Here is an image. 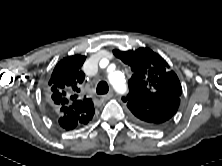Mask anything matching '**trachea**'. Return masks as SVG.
<instances>
[{"label":"trachea","mask_w":222,"mask_h":166,"mask_svg":"<svg viewBox=\"0 0 222 166\" xmlns=\"http://www.w3.org/2000/svg\"><path fill=\"white\" fill-rule=\"evenodd\" d=\"M108 91H109V87L105 81H101L98 83L97 88H96L97 94L103 95V94L108 93Z\"/></svg>","instance_id":"trachea-1"}]
</instances>
